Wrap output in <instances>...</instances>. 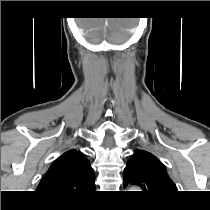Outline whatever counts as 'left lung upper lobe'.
<instances>
[{
  "label": "left lung upper lobe",
  "mask_w": 210,
  "mask_h": 210,
  "mask_svg": "<svg viewBox=\"0 0 210 210\" xmlns=\"http://www.w3.org/2000/svg\"><path fill=\"white\" fill-rule=\"evenodd\" d=\"M124 183L139 185L144 193L167 196L176 192V186L165 166L153 154L136 149L124 170Z\"/></svg>",
  "instance_id": "obj_1"
}]
</instances>
